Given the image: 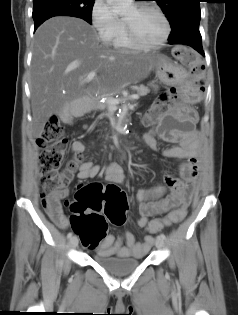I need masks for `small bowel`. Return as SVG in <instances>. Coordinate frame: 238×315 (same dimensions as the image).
Here are the masks:
<instances>
[{"label":"small bowel","mask_w":238,"mask_h":315,"mask_svg":"<svg viewBox=\"0 0 238 315\" xmlns=\"http://www.w3.org/2000/svg\"><path fill=\"white\" fill-rule=\"evenodd\" d=\"M156 133L157 130H150L143 136L145 144L153 150H157L155 140ZM161 136L165 140L179 141L178 145L164 149L163 154L167 157L184 160L180 165L181 178L177 179L170 174H166L165 180L173 189V196L169 199H163L167 190L165 185H157L137 190L136 197L140 202V217L137 220V224L141 228L148 225L150 216L167 213L175 206H180L185 215V209L191 200L195 188V180L198 175L197 133L195 131L179 133L176 131H168L161 132ZM71 149L74 155L82 153L84 144L81 141H74ZM100 172L101 167L99 165H95L91 161H86L81 164L77 177L79 180H88L96 177ZM105 176L107 180L116 183H122L124 181L123 171L121 167L115 163L106 167ZM68 193L67 189H62L49 197V199L53 201L48 209L49 216L60 228H67L69 225L68 218L63 215L60 206L61 200L65 199ZM170 214L171 213H168L164 218H167ZM160 222L163 224V227L172 224L167 221ZM71 225L73 226V224ZM122 241L125 242V245H122ZM153 243L154 238L151 235L145 236L143 242H139L136 240L133 233L126 231L123 237L118 240H115L112 235H105L96 246V251L99 255L106 257L113 255L119 257H141L149 251Z\"/></svg>","instance_id":"c3829d8e"}]
</instances>
